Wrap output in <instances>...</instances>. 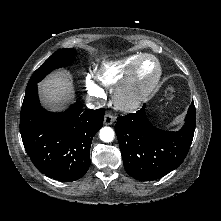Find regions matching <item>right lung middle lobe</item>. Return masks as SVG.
Segmentation results:
<instances>
[{
	"label": "right lung middle lobe",
	"mask_w": 221,
	"mask_h": 221,
	"mask_svg": "<svg viewBox=\"0 0 221 221\" xmlns=\"http://www.w3.org/2000/svg\"><path fill=\"white\" fill-rule=\"evenodd\" d=\"M76 54L72 49H61L49 57L32 75L26 88V92L31 90L52 70L68 66Z\"/></svg>",
	"instance_id": "obj_1"
}]
</instances>
